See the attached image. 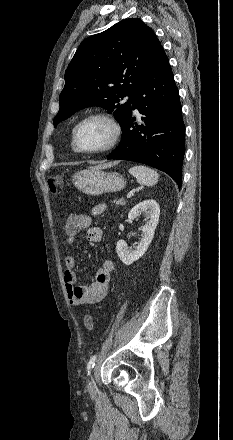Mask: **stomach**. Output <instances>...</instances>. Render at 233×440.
<instances>
[{
	"label": "stomach",
	"instance_id": "obj_1",
	"mask_svg": "<svg viewBox=\"0 0 233 440\" xmlns=\"http://www.w3.org/2000/svg\"><path fill=\"white\" fill-rule=\"evenodd\" d=\"M74 186L87 195L97 196L103 193L122 190L126 181L116 172H105L96 167L81 170L72 176Z\"/></svg>",
	"mask_w": 233,
	"mask_h": 440
}]
</instances>
